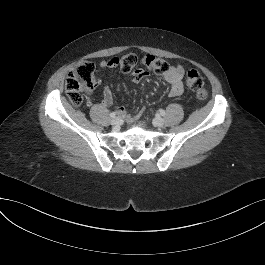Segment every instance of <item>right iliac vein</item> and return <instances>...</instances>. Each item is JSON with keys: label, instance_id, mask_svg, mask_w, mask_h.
<instances>
[{"label": "right iliac vein", "instance_id": "right-iliac-vein-1", "mask_svg": "<svg viewBox=\"0 0 265 265\" xmlns=\"http://www.w3.org/2000/svg\"><path fill=\"white\" fill-rule=\"evenodd\" d=\"M119 124H120V119L119 118H113L111 120V125L118 126Z\"/></svg>", "mask_w": 265, "mask_h": 265}]
</instances>
